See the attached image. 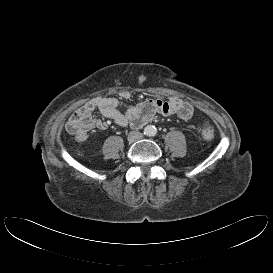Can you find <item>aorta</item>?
Segmentation results:
<instances>
[{"mask_svg": "<svg viewBox=\"0 0 273 273\" xmlns=\"http://www.w3.org/2000/svg\"><path fill=\"white\" fill-rule=\"evenodd\" d=\"M145 133L148 136H153L156 134V128L154 126L148 125L145 128Z\"/></svg>", "mask_w": 273, "mask_h": 273, "instance_id": "1", "label": "aorta"}]
</instances>
